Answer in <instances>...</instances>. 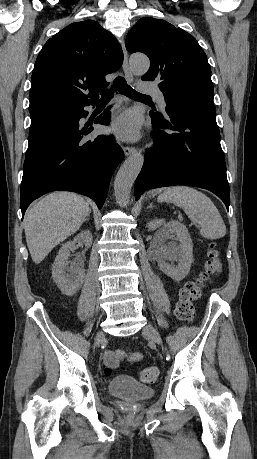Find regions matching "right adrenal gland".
I'll return each instance as SVG.
<instances>
[{
  "label": "right adrenal gland",
  "mask_w": 257,
  "mask_h": 459,
  "mask_svg": "<svg viewBox=\"0 0 257 459\" xmlns=\"http://www.w3.org/2000/svg\"><path fill=\"white\" fill-rule=\"evenodd\" d=\"M85 221H89V215L87 216V218L85 219Z\"/></svg>",
  "instance_id": "2a0ac1e0"
}]
</instances>
